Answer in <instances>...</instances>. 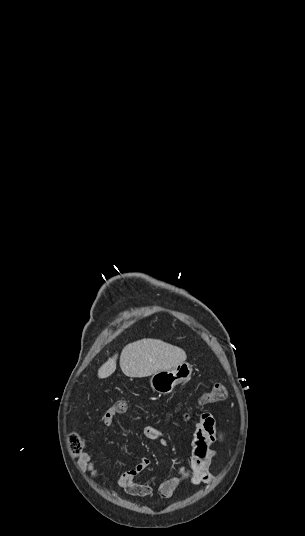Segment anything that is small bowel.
<instances>
[{
  "label": "small bowel",
  "mask_w": 305,
  "mask_h": 536,
  "mask_svg": "<svg viewBox=\"0 0 305 536\" xmlns=\"http://www.w3.org/2000/svg\"><path fill=\"white\" fill-rule=\"evenodd\" d=\"M113 414L114 411L112 409H109L104 414V419L106 420L104 421V426H109L113 422L111 418ZM193 424L194 431L191 440L192 456L189 467L178 466L177 475L164 481L159 486L158 492L162 498H172L176 490L182 487L187 481H191L194 485H200L209 483L212 479L210 466L216 454L213 446L216 443H222L224 441V434L214 416L209 412H202L197 419L193 420ZM143 433L147 439L157 440L163 446L168 445L163 431L158 427L146 426ZM80 462L82 469L87 471L91 477L109 480L131 496L145 497L152 495L154 492L152 486L139 483L136 480L151 465V459L149 457H141L133 468L116 477H109L98 470L92 455L87 450L81 452ZM107 490L113 492L110 489Z\"/></svg>",
  "instance_id": "small-bowel-1"
}]
</instances>
